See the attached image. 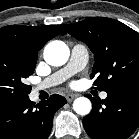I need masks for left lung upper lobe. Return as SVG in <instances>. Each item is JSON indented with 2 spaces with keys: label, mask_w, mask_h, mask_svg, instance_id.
Returning a JSON list of instances; mask_svg holds the SVG:
<instances>
[{
  "label": "left lung upper lobe",
  "mask_w": 139,
  "mask_h": 139,
  "mask_svg": "<svg viewBox=\"0 0 139 139\" xmlns=\"http://www.w3.org/2000/svg\"><path fill=\"white\" fill-rule=\"evenodd\" d=\"M74 38L86 43L94 53L90 77L93 85L107 93L139 81V34L125 24L105 17H89L61 26Z\"/></svg>",
  "instance_id": "obj_1"
}]
</instances>
